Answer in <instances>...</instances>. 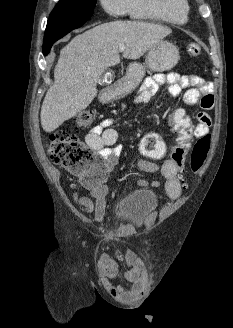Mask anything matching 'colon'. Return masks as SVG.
<instances>
[{"label": "colon", "mask_w": 233, "mask_h": 328, "mask_svg": "<svg viewBox=\"0 0 233 328\" xmlns=\"http://www.w3.org/2000/svg\"><path fill=\"white\" fill-rule=\"evenodd\" d=\"M201 47L197 43L187 45V53L198 56ZM94 112L90 109L80 111L74 118L75 129L85 130L91 127ZM168 123L176 134V142L167 148L161 136L150 132L140 142L142 155L152 160H159L166 154L174 164L183 170L188 162L193 172H198L204 165L211 146L209 135L197 139L190 150L194 126L184 110L176 109L170 112ZM47 151L50 159L87 185L100 182L104 178V168L98 161L95 152L83 144L75 134L66 131H55L49 135Z\"/></svg>", "instance_id": "1"}]
</instances>
